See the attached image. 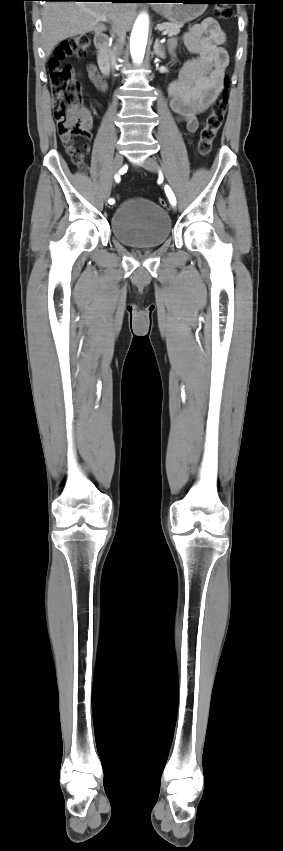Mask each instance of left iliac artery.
Masks as SVG:
<instances>
[{
	"label": "left iliac artery",
	"mask_w": 283,
	"mask_h": 851,
	"mask_svg": "<svg viewBox=\"0 0 283 851\" xmlns=\"http://www.w3.org/2000/svg\"><path fill=\"white\" fill-rule=\"evenodd\" d=\"M165 192H166V195H167L170 203L172 205H176V198H175L174 193L172 192L171 188L168 185L165 186Z\"/></svg>",
	"instance_id": "left-iliac-artery-1"
}]
</instances>
